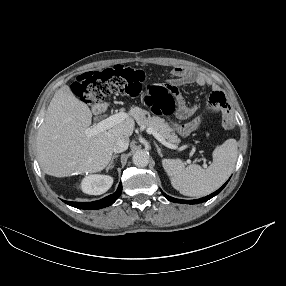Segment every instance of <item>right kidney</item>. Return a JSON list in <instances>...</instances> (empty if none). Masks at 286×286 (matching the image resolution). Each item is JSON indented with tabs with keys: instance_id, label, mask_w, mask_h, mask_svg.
Listing matches in <instances>:
<instances>
[{
	"instance_id": "1",
	"label": "right kidney",
	"mask_w": 286,
	"mask_h": 286,
	"mask_svg": "<svg viewBox=\"0 0 286 286\" xmlns=\"http://www.w3.org/2000/svg\"><path fill=\"white\" fill-rule=\"evenodd\" d=\"M113 184V178L108 175H89L81 182V189L89 195H100L105 193Z\"/></svg>"
}]
</instances>
